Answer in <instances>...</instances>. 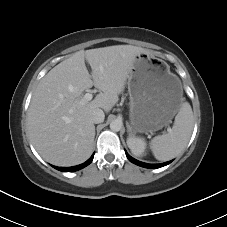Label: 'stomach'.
Returning a JSON list of instances; mask_svg holds the SVG:
<instances>
[{"label":"stomach","mask_w":227,"mask_h":227,"mask_svg":"<svg viewBox=\"0 0 227 227\" xmlns=\"http://www.w3.org/2000/svg\"><path fill=\"white\" fill-rule=\"evenodd\" d=\"M130 123L133 131L155 132L166 126L179 111L182 85L169 65L143 52L135 57L128 78Z\"/></svg>","instance_id":"1"}]
</instances>
